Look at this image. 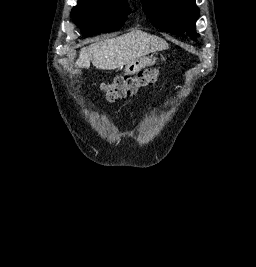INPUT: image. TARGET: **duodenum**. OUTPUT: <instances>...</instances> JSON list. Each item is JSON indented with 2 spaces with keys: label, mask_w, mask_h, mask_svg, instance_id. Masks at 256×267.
Here are the masks:
<instances>
[{
  "label": "duodenum",
  "mask_w": 256,
  "mask_h": 267,
  "mask_svg": "<svg viewBox=\"0 0 256 267\" xmlns=\"http://www.w3.org/2000/svg\"><path fill=\"white\" fill-rule=\"evenodd\" d=\"M136 71H140V66H126V75H133Z\"/></svg>",
  "instance_id": "obj_1"
}]
</instances>
